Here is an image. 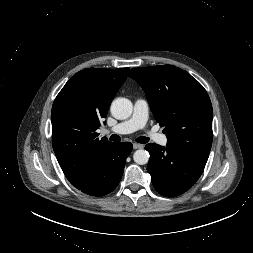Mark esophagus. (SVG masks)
Listing matches in <instances>:
<instances>
[{"mask_svg": "<svg viewBox=\"0 0 253 253\" xmlns=\"http://www.w3.org/2000/svg\"><path fill=\"white\" fill-rule=\"evenodd\" d=\"M133 148L134 149H141V148H143V145L142 144H138V143H134L133 144Z\"/></svg>", "mask_w": 253, "mask_h": 253, "instance_id": "esophagus-1", "label": "esophagus"}]
</instances>
